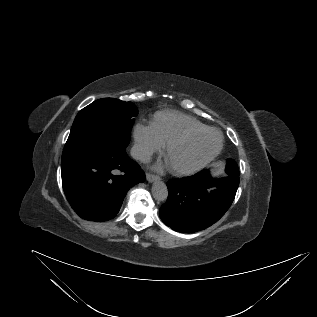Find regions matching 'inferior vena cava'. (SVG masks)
Segmentation results:
<instances>
[{
	"mask_svg": "<svg viewBox=\"0 0 317 317\" xmlns=\"http://www.w3.org/2000/svg\"><path fill=\"white\" fill-rule=\"evenodd\" d=\"M130 153L134 159H137L143 162L150 160V153L141 145H138V144L133 145Z\"/></svg>",
	"mask_w": 317,
	"mask_h": 317,
	"instance_id": "inferior-vena-cava-1",
	"label": "inferior vena cava"
}]
</instances>
